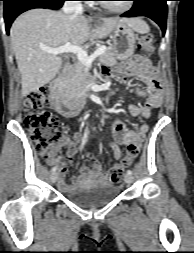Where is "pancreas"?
Returning a JSON list of instances; mask_svg holds the SVG:
<instances>
[{
    "label": "pancreas",
    "mask_w": 194,
    "mask_h": 253,
    "mask_svg": "<svg viewBox=\"0 0 194 253\" xmlns=\"http://www.w3.org/2000/svg\"><path fill=\"white\" fill-rule=\"evenodd\" d=\"M99 61L108 66L116 64V57L113 48H106V51L100 55ZM90 77L91 75L87 66L81 61L76 62L65 77L64 88L66 95L70 98L79 97L86 91L87 86L91 81Z\"/></svg>",
    "instance_id": "pancreas-1"
}]
</instances>
